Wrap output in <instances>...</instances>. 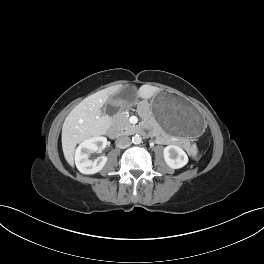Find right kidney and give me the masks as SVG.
I'll return each mask as SVG.
<instances>
[{
  "mask_svg": "<svg viewBox=\"0 0 264 264\" xmlns=\"http://www.w3.org/2000/svg\"><path fill=\"white\" fill-rule=\"evenodd\" d=\"M107 139L105 137H92L83 141L75 151V164L82 174H95L101 171L107 162L106 156H100L94 161L90 159V154L105 147Z\"/></svg>",
  "mask_w": 264,
  "mask_h": 264,
  "instance_id": "right-kidney-1",
  "label": "right kidney"
}]
</instances>
